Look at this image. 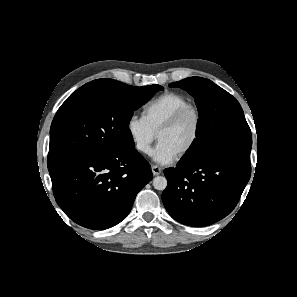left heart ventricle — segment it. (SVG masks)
Instances as JSON below:
<instances>
[{"instance_id":"b2bd125f","label":"left heart ventricle","mask_w":297,"mask_h":297,"mask_svg":"<svg viewBox=\"0 0 297 297\" xmlns=\"http://www.w3.org/2000/svg\"><path fill=\"white\" fill-rule=\"evenodd\" d=\"M194 131L195 118L188 114L176 127L161 133L158 141L168 144L179 154L191 141Z\"/></svg>"}]
</instances>
